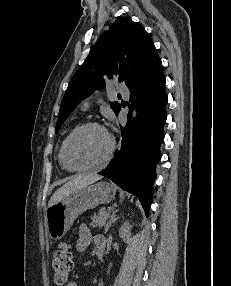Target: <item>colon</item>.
<instances>
[{"mask_svg":"<svg viewBox=\"0 0 231 286\" xmlns=\"http://www.w3.org/2000/svg\"><path fill=\"white\" fill-rule=\"evenodd\" d=\"M54 281L58 285H64L73 269V255L71 245L61 243L53 255Z\"/></svg>","mask_w":231,"mask_h":286,"instance_id":"1","label":"colon"}]
</instances>
